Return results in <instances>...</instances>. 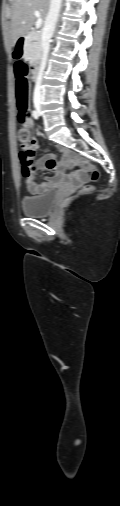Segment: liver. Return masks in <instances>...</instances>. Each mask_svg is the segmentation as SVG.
<instances>
[{
  "label": "liver",
  "mask_w": 120,
  "mask_h": 506,
  "mask_svg": "<svg viewBox=\"0 0 120 506\" xmlns=\"http://www.w3.org/2000/svg\"><path fill=\"white\" fill-rule=\"evenodd\" d=\"M50 0H13L10 43L13 47L17 40L25 36L36 21L34 12L38 10L43 19L49 11Z\"/></svg>",
  "instance_id": "obj_1"
}]
</instances>
